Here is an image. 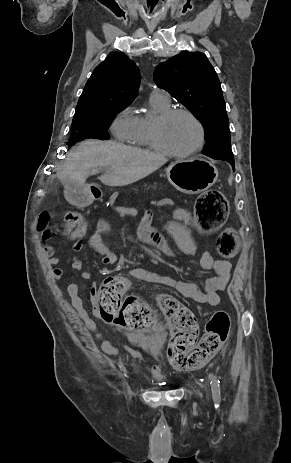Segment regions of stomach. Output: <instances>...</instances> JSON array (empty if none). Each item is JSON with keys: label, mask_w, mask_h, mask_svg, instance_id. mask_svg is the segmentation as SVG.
<instances>
[{"label": "stomach", "mask_w": 291, "mask_h": 463, "mask_svg": "<svg viewBox=\"0 0 291 463\" xmlns=\"http://www.w3.org/2000/svg\"><path fill=\"white\" fill-rule=\"evenodd\" d=\"M170 183L186 194H198L209 189L218 178V170L210 162L199 159H178L166 170ZM66 199L74 205L88 203L90 195L85 186L73 185L65 191Z\"/></svg>", "instance_id": "1"}]
</instances>
